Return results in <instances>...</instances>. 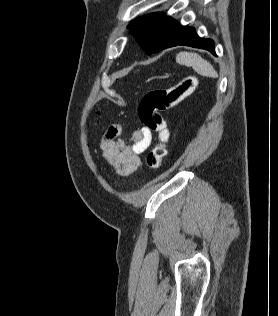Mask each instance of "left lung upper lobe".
<instances>
[{"label":"left lung upper lobe","instance_id":"obj_1","mask_svg":"<svg viewBox=\"0 0 278 316\" xmlns=\"http://www.w3.org/2000/svg\"><path fill=\"white\" fill-rule=\"evenodd\" d=\"M180 24L164 13H152L133 20L128 28L147 54L165 48L176 34Z\"/></svg>","mask_w":278,"mask_h":316}]
</instances>
